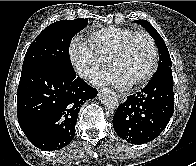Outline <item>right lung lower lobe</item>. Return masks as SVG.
Returning a JSON list of instances; mask_svg holds the SVG:
<instances>
[{"label": "right lung lower lobe", "instance_id": "1", "mask_svg": "<svg viewBox=\"0 0 196 166\" xmlns=\"http://www.w3.org/2000/svg\"><path fill=\"white\" fill-rule=\"evenodd\" d=\"M96 96L97 90L75 71L46 66L23 70L17 90L19 125L34 146L59 150L75 135L81 105Z\"/></svg>", "mask_w": 196, "mask_h": 166}]
</instances>
